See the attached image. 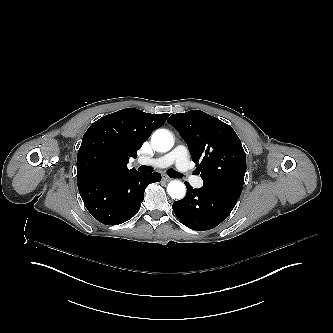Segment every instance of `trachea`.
<instances>
[{"mask_svg": "<svg viewBox=\"0 0 333 333\" xmlns=\"http://www.w3.org/2000/svg\"><path fill=\"white\" fill-rule=\"evenodd\" d=\"M138 170H140L141 172H144V173H151L152 172V168L150 167H147V166H140L138 168ZM167 174L169 177L171 178H182L183 177V174L173 170V169H169L167 171Z\"/></svg>", "mask_w": 333, "mask_h": 333, "instance_id": "trachea-1", "label": "trachea"}]
</instances>
